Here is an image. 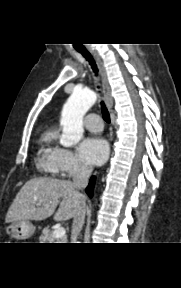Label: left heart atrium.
<instances>
[{"label": "left heart atrium", "instance_id": "obj_1", "mask_svg": "<svg viewBox=\"0 0 181 288\" xmlns=\"http://www.w3.org/2000/svg\"><path fill=\"white\" fill-rule=\"evenodd\" d=\"M107 142L98 136H89L83 139L78 147L81 158L89 164L99 165L108 156Z\"/></svg>", "mask_w": 181, "mask_h": 288}]
</instances>
